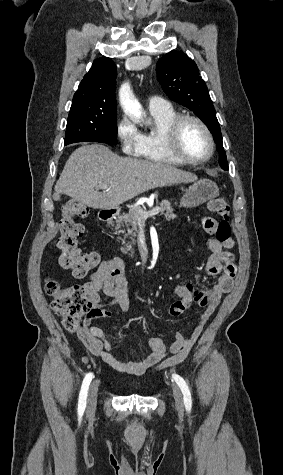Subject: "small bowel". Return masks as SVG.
<instances>
[{
	"label": "small bowel",
	"instance_id": "1",
	"mask_svg": "<svg viewBox=\"0 0 283 475\" xmlns=\"http://www.w3.org/2000/svg\"><path fill=\"white\" fill-rule=\"evenodd\" d=\"M201 226L211 237L218 235V225L211 217H203ZM206 245L211 255L206 262L205 273L216 277V281L211 288L199 289L195 293L194 303L202 306L203 312L189 336L176 334L170 345H166L161 337H152L148 340L152 352L139 360L124 361L112 352L109 338L103 329L98 327L107 326L109 322L107 317L110 315L104 309L106 303L102 301L101 293L109 298V303L118 305L122 310L131 307L129 283L124 273L126 264L122 259L113 258L103 261L84 285L85 294L94 310L85 313L87 320L77 332L85 347L115 371L128 375H143L158 363L168 367L183 361L202 334L223 296L232 290L237 272L234 255L227 250L234 247L233 239H224L220 243L217 239L211 238ZM186 288L187 284L177 285L174 295L185 293Z\"/></svg>",
	"mask_w": 283,
	"mask_h": 475
}]
</instances>
